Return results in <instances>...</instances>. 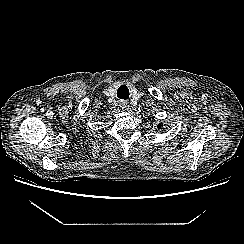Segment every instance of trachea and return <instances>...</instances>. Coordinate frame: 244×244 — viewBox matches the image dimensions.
<instances>
[{"label": "trachea", "instance_id": "3493384b", "mask_svg": "<svg viewBox=\"0 0 244 244\" xmlns=\"http://www.w3.org/2000/svg\"><path fill=\"white\" fill-rule=\"evenodd\" d=\"M122 87H125V86H121L120 88H122ZM128 94H129V91H128Z\"/></svg>", "mask_w": 244, "mask_h": 244}]
</instances>
